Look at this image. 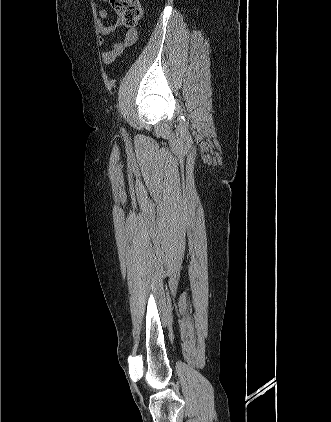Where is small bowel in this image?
Listing matches in <instances>:
<instances>
[{"label":"small bowel","mask_w":331,"mask_h":422,"mask_svg":"<svg viewBox=\"0 0 331 422\" xmlns=\"http://www.w3.org/2000/svg\"><path fill=\"white\" fill-rule=\"evenodd\" d=\"M105 1V0H103ZM97 7L98 5L95 4ZM106 11H99V15L96 21L97 31L99 32V43L102 46L106 44V38L116 30L122 27V22L116 20L113 24L105 23ZM137 38V31L135 29L128 30L124 37L113 43L109 48H105L102 52V60L104 64L111 65L113 64L118 57L121 56L124 49L135 42Z\"/></svg>","instance_id":"1"}]
</instances>
